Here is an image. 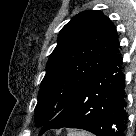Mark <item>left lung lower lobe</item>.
<instances>
[{"mask_svg":"<svg viewBox=\"0 0 136 136\" xmlns=\"http://www.w3.org/2000/svg\"><path fill=\"white\" fill-rule=\"evenodd\" d=\"M116 39L103 64L82 85L72 101L40 134L49 129L79 128L96 136H123L125 123L124 74Z\"/></svg>","mask_w":136,"mask_h":136,"instance_id":"left-lung-lower-lobe-1","label":"left lung lower lobe"}]
</instances>
